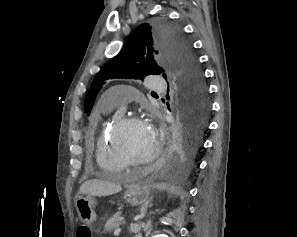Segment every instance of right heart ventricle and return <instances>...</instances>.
I'll return each instance as SVG.
<instances>
[{"label":"right heart ventricle","mask_w":297,"mask_h":237,"mask_svg":"<svg viewBox=\"0 0 297 237\" xmlns=\"http://www.w3.org/2000/svg\"><path fill=\"white\" fill-rule=\"evenodd\" d=\"M111 109V107L103 106L100 114L105 116L111 111ZM117 120L118 117H114L111 120L101 121L95 144L96 162L100 169H102L107 175H115L125 168L120 160L113 154L109 144V134Z\"/></svg>","instance_id":"obj_1"}]
</instances>
